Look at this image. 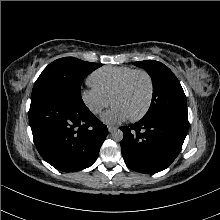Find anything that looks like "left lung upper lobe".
Masks as SVG:
<instances>
[{
  "label": "left lung upper lobe",
  "instance_id": "obj_1",
  "mask_svg": "<svg viewBox=\"0 0 220 220\" xmlns=\"http://www.w3.org/2000/svg\"><path fill=\"white\" fill-rule=\"evenodd\" d=\"M134 65L145 69L153 83L151 105L141 120L166 117L188 126L186 96L173 72L164 64L154 60L134 62Z\"/></svg>",
  "mask_w": 220,
  "mask_h": 220
}]
</instances>
